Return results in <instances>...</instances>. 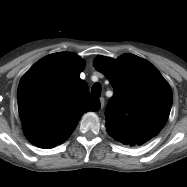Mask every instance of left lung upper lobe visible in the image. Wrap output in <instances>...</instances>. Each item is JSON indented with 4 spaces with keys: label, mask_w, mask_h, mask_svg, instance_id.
<instances>
[{
    "label": "left lung upper lobe",
    "mask_w": 187,
    "mask_h": 187,
    "mask_svg": "<svg viewBox=\"0 0 187 187\" xmlns=\"http://www.w3.org/2000/svg\"><path fill=\"white\" fill-rule=\"evenodd\" d=\"M93 65L114 88L105 109L106 131L115 140L139 146L164 127L172 92L161 73L147 60L124 54L117 60L97 56Z\"/></svg>",
    "instance_id": "1"
}]
</instances>
